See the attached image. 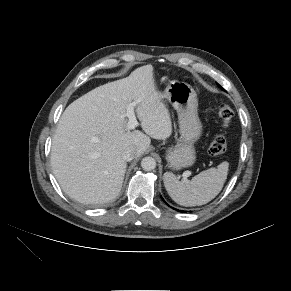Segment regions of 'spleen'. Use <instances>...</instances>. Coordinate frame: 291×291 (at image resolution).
Returning <instances> with one entry per match:
<instances>
[{
    "label": "spleen",
    "mask_w": 291,
    "mask_h": 291,
    "mask_svg": "<svg viewBox=\"0 0 291 291\" xmlns=\"http://www.w3.org/2000/svg\"><path fill=\"white\" fill-rule=\"evenodd\" d=\"M228 162L210 168L194 176L191 181H179L174 174L166 172L164 186L169 196L182 206H200L214 199L222 190L227 179Z\"/></svg>",
    "instance_id": "1"
}]
</instances>
